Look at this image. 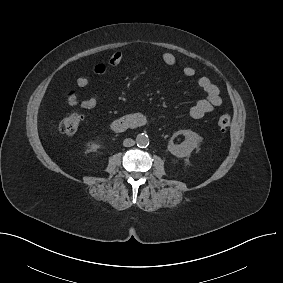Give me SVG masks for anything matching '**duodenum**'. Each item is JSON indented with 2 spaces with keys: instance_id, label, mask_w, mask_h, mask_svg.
Returning a JSON list of instances; mask_svg holds the SVG:
<instances>
[{
  "instance_id": "1",
  "label": "duodenum",
  "mask_w": 283,
  "mask_h": 283,
  "mask_svg": "<svg viewBox=\"0 0 283 283\" xmlns=\"http://www.w3.org/2000/svg\"><path fill=\"white\" fill-rule=\"evenodd\" d=\"M146 119L143 116L130 114L114 120L111 123V128L115 132H124L128 129H133L145 125Z\"/></svg>"
}]
</instances>
